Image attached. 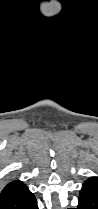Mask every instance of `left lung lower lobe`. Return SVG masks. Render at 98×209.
<instances>
[{
	"label": "left lung lower lobe",
	"mask_w": 98,
	"mask_h": 209,
	"mask_svg": "<svg viewBox=\"0 0 98 209\" xmlns=\"http://www.w3.org/2000/svg\"><path fill=\"white\" fill-rule=\"evenodd\" d=\"M75 209H98V178L90 177L80 190L79 203Z\"/></svg>",
	"instance_id": "left-lung-lower-lobe-1"
}]
</instances>
